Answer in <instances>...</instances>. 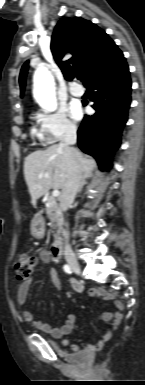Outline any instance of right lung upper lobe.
I'll list each match as a JSON object with an SVG mask.
<instances>
[{"instance_id":"right-lung-upper-lobe-1","label":"right lung upper lobe","mask_w":145,"mask_h":385,"mask_svg":"<svg viewBox=\"0 0 145 385\" xmlns=\"http://www.w3.org/2000/svg\"><path fill=\"white\" fill-rule=\"evenodd\" d=\"M51 51L66 80L81 75L88 87L109 75L126 60L114 41L94 23L80 17L63 18L55 27ZM28 62L20 72L21 96L24 92Z\"/></svg>"}]
</instances>
